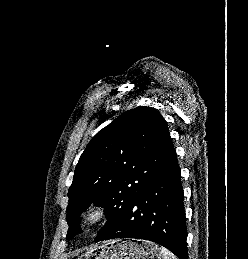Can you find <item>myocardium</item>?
Returning <instances> with one entry per match:
<instances>
[{"label": "myocardium", "mask_w": 248, "mask_h": 259, "mask_svg": "<svg viewBox=\"0 0 248 259\" xmlns=\"http://www.w3.org/2000/svg\"><path fill=\"white\" fill-rule=\"evenodd\" d=\"M108 216V210L103 205H92L85 209L80 216V223L85 229L100 225Z\"/></svg>", "instance_id": "f54148a6"}]
</instances>
